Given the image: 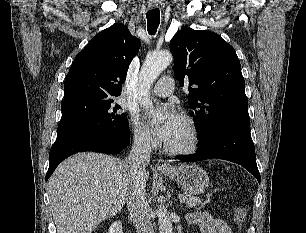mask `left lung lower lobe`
I'll use <instances>...</instances> for the list:
<instances>
[{"label":"left lung lower lobe","instance_id":"1","mask_svg":"<svg viewBox=\"0 0 306 233\" xmlns=\"http://www.w3.org/2000/svg\"><path fill=\"white\" fill-rule=\"evenodd\" d=\"M249 127L228 126L216 129L206 137L199 139V149L195 154L176 158L188 162L211 158L235 162L246 168L260 183V173Z\"/></svg>","mask_w":306,"mask_h":233}]
</instances>
